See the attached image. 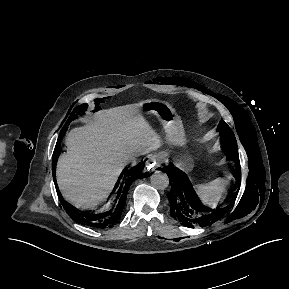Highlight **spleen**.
<instances>
[{"label":"spleen","mask_w":289,"mask_h":289,"mask_svg":"<svg viewBox=\"0 0 289 289\" xmlns=\"http://www.w3.org/2000/svg\"><path fill=\"white\" fill-rule=\"evenodd\" d=\"M195 188L204 204L215 207L224 197L226 180L224 178H217L208 183L198 184Z\"/></svg>","instance_id":"obj_1"}]
</instances>
